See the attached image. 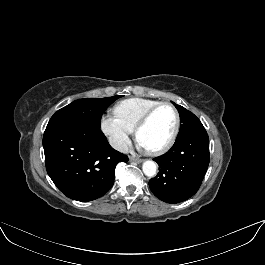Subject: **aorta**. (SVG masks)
I'll return each instance as SVG.
<instances>
[{"instance_id":"762f6f07","label":"aorta","mask_w":265,"mask_h":265,"mask_svg":"<svg viewBox=\"0 0 265 265\" xmlns=\"http://www.w3.org/2000/svg\"><path fill=\"white\" fill-rule=\"evenodd\" d=\"M142 170L146 176L152 177L156 174L157 165L155 162L147 160L143 163Z\"/></svg>"}]
</instances>
